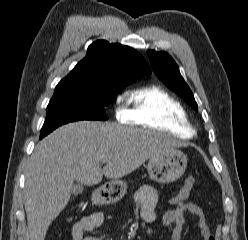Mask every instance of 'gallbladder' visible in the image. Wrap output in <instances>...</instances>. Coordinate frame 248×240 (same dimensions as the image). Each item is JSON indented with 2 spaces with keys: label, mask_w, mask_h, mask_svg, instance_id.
Listing matches in <instances>:
<instances>
[{
  "label": "gallbladder",
  "mask_w": 248,
  "mask_h": 240,
  "mask_svg": "<svg viewBox=\"0 0 248 240\" xmlns=\"http://www.w3.org/2000/svg\"><path fill=\"white\" fill-rule=\"evenodd\" d=\"M83 191V186L82 185H75L73 188H72V194L74 195H77V194H80L82 193Z\"/></svg>",
  "instance_id": "bac80fb5"
}]
</instances>
